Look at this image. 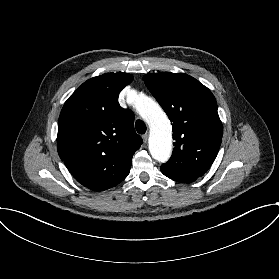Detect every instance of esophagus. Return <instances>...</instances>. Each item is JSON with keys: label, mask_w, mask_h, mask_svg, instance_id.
Returning <instances> with one entry per match:
<instances>
[{"label": "esophagus", "mask_w": 279, "mask_h": 279, "mask_svg": "<svg viewBox=\"0 0 279 279\" xmlns=\"http://www.w3.org/2000/svg\"><path fill=\"white\" fill-rule=\"evenodd\" d=\"M142 139H143L144 143H147V141H148V134L142 135Z\"/></svg>", "instance_id": "esophagus-1"}]
</instances>
